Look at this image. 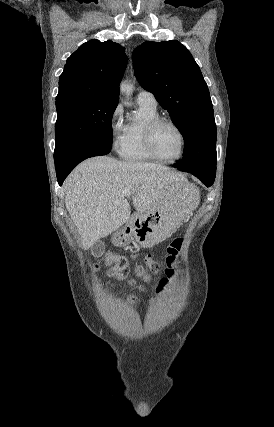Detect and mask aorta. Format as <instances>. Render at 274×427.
I'll return each mask as SVG.
<instances>
[{"instance_id":"762f6f07","label":"aorta","mask_w":274,"mask_h":427,"mask_svg":"<svg viewBox=\"0 0 274 427\" xmlns=\"http://www.w3.org/2000/svg\"><path fill=\"white\" fill-rule=\"evenodd\" d=\"M133 88H134L133 85L128 81H124L120 84V91L124 93L127 98L131 96L133 92ZM128 105H131V104L129 103Z\"/></svg>"}]
</instances>
